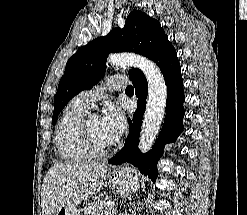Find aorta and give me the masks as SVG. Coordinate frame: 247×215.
<instances>
[{
	"mask_svg": "<svg viewBox=\"0 0 247 215\" xmlns=\"http://www.w3.org/2000/svg\"><path fill=\"white\" fill-rule=\"evenodd\" d=\"M108 61L117 67L139 68L146 76L148 99L139 139V149L142 153H146L159 134L165 114L167 86L164 77L153 61L140 55L131 53L111 54Z\"/></svg>",
	"mask_w": 247,
	"mask_h": 215,
	"instance_id": "762f6f07",
	"label": "aorta"
}]
</instances>
